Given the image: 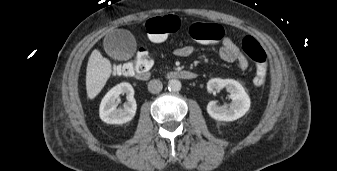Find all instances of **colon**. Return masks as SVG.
Returning a JSON list of instances; mask_svg holds the SVG:
<instances>
[{"label": "colon", "mask_w": 337, "mask_h": 171, "mask_svg": "<svg viewBox=\"0 0 337 171\" xmlns=\"http://www.w3.org/2000/svg\"><path fill=\"white\" fill-rule=\"evenodd\" d=\"M180 27V19L175 15L152 17L146 22V31L153 41H163ZM189 35L203 45H212L223 37V29L218 24L194 22L189 26ZM242 49L255 66L254 84L261 86L266 78V53L260 43L252 36H245ZM151 58L146 48H140L132 61L117 64L113 67L116 75H133L136 70L149 69Z\"/></svg>", "instance_id": "obj_1"}]
</instances>
